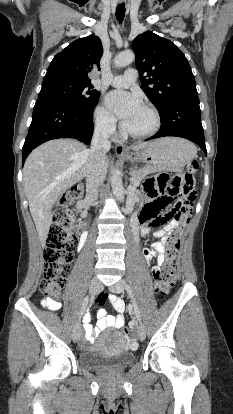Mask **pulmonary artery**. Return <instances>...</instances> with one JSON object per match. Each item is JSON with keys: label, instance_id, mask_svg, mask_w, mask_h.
Returning <instances> with one entry per match:
<instances>
[{"label": "pulmonary artery", "instance_id": "obj_1", "mask_svg": "<svg viewBox=\"0 0 233 414\" xmlns=\"http://www.w3.org/2000/svg\"><path fill=\"white\" fill-rule=\"evenodd\" d=\"M137 70L134 68L127 69L123 75L114 76L109 80V84L118 88H126L132 85L137 79Z\"/></svg>", "mask_w": 233, "mask_h": 414}]
</instances>
